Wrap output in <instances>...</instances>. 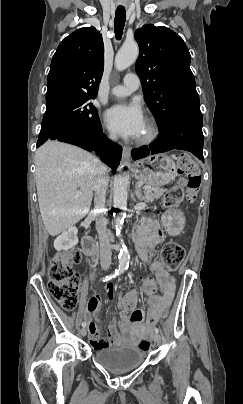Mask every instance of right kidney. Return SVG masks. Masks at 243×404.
Here are the masks:
<instances>
[{
    "instance_id": "right-kidney-1",
    "label": "right kidney",
    "mask_w": 243,
    "mask_h": 404,
    "mask_svg": "<svg viewBox=\"0 0 243 404\" xmlns=\"http://www.w3.org/2000/svg\"><path fill=\"white\" fill-rule=\"evenodd\" d=\"M77 228L75 226H72V228H69L67 232H62L61 236H58L56 240H54V248L55 250H70V248H73V246H76L78 244V236H77Z\"/></svg>"
}]
</instances>
